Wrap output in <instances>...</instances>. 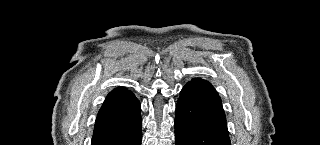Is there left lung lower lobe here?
Here are the masks:
<instances>
[{"label":"left lung lower lobe","mask_w":320,"mask_h":145,"mask_svg":"<svg viewBox=\"0 0 320 145\" xmlns=\"http://www.w3.org/2000/svg\"><path fill=\"white\" fill-rule=\"evenodd\" d=\"M176 145H231L226 116L215 88L194 78L181 90L175 116Z\"/></svg>","instance_id":"1"}]
</instances>
